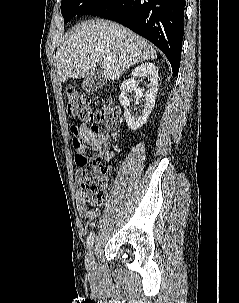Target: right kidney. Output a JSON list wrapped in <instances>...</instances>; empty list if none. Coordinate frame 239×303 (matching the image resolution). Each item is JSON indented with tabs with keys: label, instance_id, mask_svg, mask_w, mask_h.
I'll return each instance as SVG.
<instances>
[{
	"label": "right kidney",
	"instance_id": "1",
	"mask_svg": "<svg viewBox=\"0 0 239 303\" xmlns=\"http://www.w3.org/2000/svg\"><path fill=\"white\" fill-rule=\"evenodd\" d=\"M148 76V90L145 91L144 89H140L138 87L137 82L135 81L136 77L141 76ZM121 94L119 96L120 103L124 106V118L126 120V123L128 127L136 131L139 128H141L146 122L147 119L152 112L154 105H155V99L158 91V68L153 63H143L139 66H137L131 73V78L128 80H125L121 84ZM130 91H135L136 97L138 99L145 97V106L142 111V113L137 115H132L131 110L128 109V106L130 104L127 93Z\"/></svg>",
	"mask_w": 239,
	"mask_h": 303
}]
</instances>
